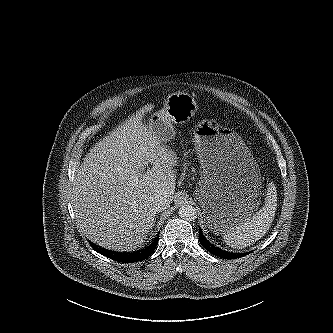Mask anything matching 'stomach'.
<instances>
[{
    "instance_id": "0dacf381",
    "label": "stomach",
    "mask_w": 333,
    "mask_h": 333,
    "mask_svg": "<svg viewBox=\"0 0 333 333\" xmlns=\"http://www.w3.org/2000/svg\"><path fill=\"white\" fill-rule=\"evenodd\" d=\"M197 103L188 93L168 95L163 108L151 113L148 129L162 144L175 136L173 123H185L195 115ZM194 143L201 164L196 198L199 223L212 236H225L262 204L266 184L243 140L213 121L194 129Z\"/></svg>"
}]
</instances>
